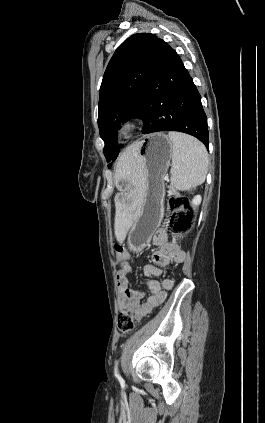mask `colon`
I'll return each instance as SVG.
<instances>
[{
    "label": "colon",
    "mask_w": 265,
    "mask_h": 423,
    "mask_svg": "<svg viewBox=\"0 0 265 423\" xmlns=\"http://www.w3.org/2000/svg\"><path fill=\"white\" fill-rule=\"evenodd\" d=\"M168 207L171 210L168 226L176 235L188 233L192 226L194 210L188 199L182 197H172L168 201ZM117 260L124 263L128 253L124 247H116ZM117 326L122 334H130L135 328V319L131 312L123 311L118 315Z\"/></svg>",
    "instance_id": "5ec220e1"
}]
</instances>
